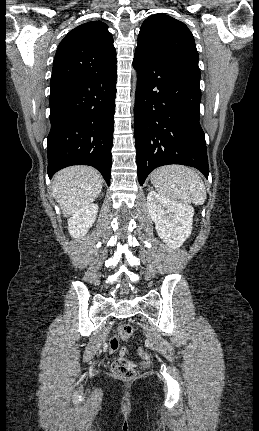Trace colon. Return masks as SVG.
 Wrapping results in <instances>:
<instances>
[{
  "label": "colon",
  "mask_w": 259,
  "mask_h": 431,
  "mask_svg": "<svg viewBox=\"0 0 259 431\" xmlns=\"http://www.w3.org/2000/svg\"><path fill=\"white\" fill-rule=\"evenodd\" d=\"M134 333V328L131 324H122L117 329L116 334L110 340V350L116 351L119 348L120 340L130 338ZM127 353V348L120 349V357H118L112 364V371L114 375L121 379H132L137 375V365L131 360L124 357ZM138 354L141 358H148V353L145 349L139 348Z\"/></svg>",
  "instance_id": "colon-1"
}]
</instances>
